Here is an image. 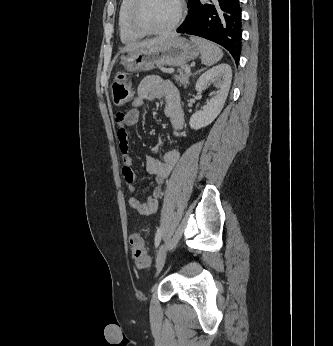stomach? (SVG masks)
<instances>
[{
  "mask_svg": "<svg viewBox=\"0 0 333 346\" xmlns=\"http://www.w3.org/2000/svg\"><path fill=\"white\" fill-rule=\"evenodd\" d=\"M198 46L183 37L129 51L122 65L129 72L149 71L164 65L184 66L199 56Z\"/></svg>",
  "mask_w": 333,
  "mask_h": 346,
  "instance_id": "0dacf381",
  "label": "stomach"
}]
</instances>
